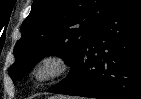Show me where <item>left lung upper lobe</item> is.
<instances>
[{"mask_svg":"<svg viewBox=\"0 0 141 99\" xmlns=\"http://www.w3.org/2000/svg\"><path fill=\"white\" fill-rule=\"evenodd\" d=\"M117 1L34 0L21 26L22 37L14 47L15 62L8 71L14 84L51 54L61 56L72 70L92 33Z\"/></svg>","mask_w":141,"mask_h":99,"instance_id":"5c2ea615","label":"left lung upper lobe"}]
</instances>
